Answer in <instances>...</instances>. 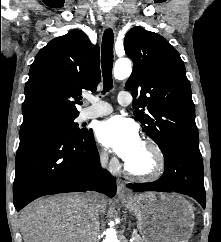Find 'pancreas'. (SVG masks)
<instances>
[{
  "label": "pancreas",
  "mask_w": 221,
  "mask_h": 242,
  "mask_svg": "<svg viewBox=\"0 0 221 242\" xmlns=\"http://www.w3.org/2000/svg\"><path fill=\"white\" fill-rule=\"evenodd\" d=\"M132 236L134 237L133 242H144L143 239L140 237V235L137 232H133Z\"/></svg>",
  "instance_id": "1"
}]
</instances>
